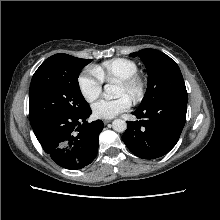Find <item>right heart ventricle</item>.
Here are the masks:
<instances>
[{"mask_svg":"<svg viewBox=\"0 0 220 220\" xmlns=\"http://www.w3.org/2000/svg\"><path fill=\"white\" fill-rule=\"evenodd\" d=\"M93 71L102 82L117 83L138 73V65L135 61L127 58H114L94 66Z\"/></svg>","mask_w":220,"mask_h":220,"instance_id":"right-heart-ventricle-1","label":"right heart ventricle"}]
</instances>
